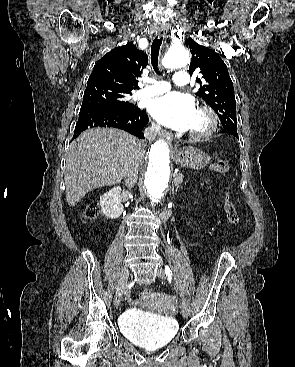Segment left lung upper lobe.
I'll return each mask as SVG.
<instances>
[{
	"mask_svg": "<svg viewBox=\"0 0 295 367\" xmlns=\"http://www.w3.org/2000/svg\"><path fill=\"white\" fill-rule=\"evenodd\" d=\"M192 53L189 74L200 73L197 95L217 113L223 128L237 130L236 101L232 80L226 64L212 49L197 44L192 38L185 42Z\"/></svg>",
	"mask_w": 295,
	"mask_h": 367,
	"instance_id": "5c2ea615",
	"label": "left lung upper lobe"
}]
</instances>
